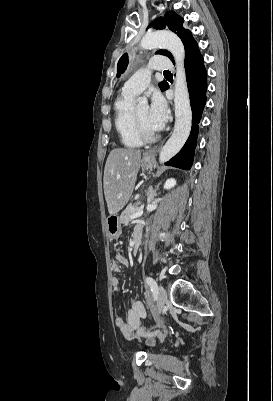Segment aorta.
Returning <instances> with one entry per match:
<instances>
[{
	"instance_id": "1",
	"label": "aorta",
	"mask_w": 273,
	"mask_h": 401,
	"mask_svg": "<svg viewBox=\"0 0 273 401\" xmlns=\"http://www.w3.org/2000/svg\"><path fill=\"white\" fill-rule=\"evenodd\" d=\"M143 49L165 48L171 52L176 62V76L174 84L175 125L171 137L163 146L159 154L161 164L169 161L184 146L192 127V109L184 68L185 49L180 38L168 31L147 33L142 41ZM139 106L147 105V100L138 98Z\"/></svg>"
}]
</instances>
